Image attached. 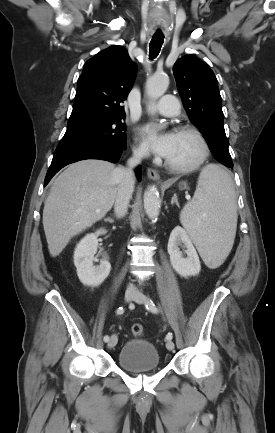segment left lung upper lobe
<instances>
[{
	"instance_id": "left-lung-upper-lobe-1",
	"label": "left lung upper lobe",
	"mask_w": 275,
	"mask_h": 433,
	"mask_svg": "<svg viewBox=\"0 0 275 433\" xmlns=\"http://www.w3.org/2000/svg\"><path fill=\"white\" fill-rule=\"evenodd\" d=\"M173 73L189 118L205 137L216 159L231 167L222 100L213 71L196 56L188 55L175 63Z\"/></svg>"
}]
</instances>
